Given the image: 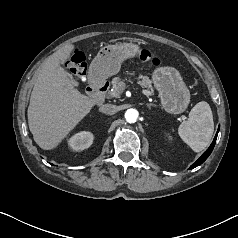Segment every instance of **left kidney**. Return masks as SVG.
Returning <instances> with one entry per match:
<instances>
[{"label": "left kidney", "mask_w": 238, "mask_h": 238, "mask_svg": "<svg viewBox=\"0 0 238 238\" xmlns=\"http://www.w3.org/2000/svg\"><path fill=\"white\" fill-rule=\"evenodd\" d=\"M167 137H168V139H169V140H171V139H172V136H171V135H169V134H167Z\"/></svg>", "instance_id": "5707ae66"}]
</instances>
